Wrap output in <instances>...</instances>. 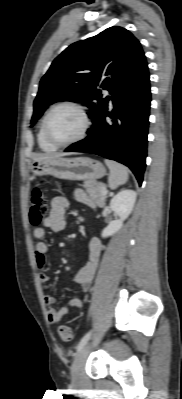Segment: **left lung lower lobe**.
<instances>
[{
    "mask_svg": "<svg viewBox=\"0 0 182 399\" xmlns=\"http://www.w3.org/2000/svg\"><path fill=\"white\" fill-rule=\"evenodd\" d=\"M107 108L93 121L88 136L66 152L93 153L128 166L139 185L146 167L151 92L147 62L111 96ZM109 117L110 120H106Z\"/></svg>",
    "mask_w": 182,
    "mask_h": 399,
    "instance_id": "1",
    "label": "left lung lower lobe"
}]
</instances>
